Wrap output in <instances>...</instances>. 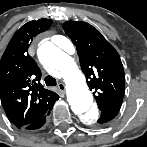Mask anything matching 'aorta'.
Wrapping results in <instances>:
<instances>
[{
  "instance_id": "1",
  "label": "aorta",
  "mask_w": 147,
  "mask_h": 147,
  "mask_svg": "<svg viewBox=\"0 0 147 147\" xmlns=\"http://www.w3.org/2000/svg\"><path fill=\"white\" fill-rule=\"evenodd\" d=\"M63 43L74 50L72 43L63 38ZM40 61L57 71L64 79L67 87V99L71 109L82 121L92 123L98 118V111L93 104L92 94L86 84V78L78 68L74 59L50 42L39 49Z\"/></svg>"
}]
</instances>
